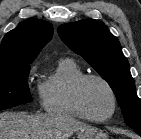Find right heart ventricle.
Returning <instances> with one entry per match:
<instances>
[{
  "label": "right heart ventricle",
  "instance_id": "e07e8e85",
  "mask_svg": "<svg viewBox=\"0 0 141 139\" xmlns=\"http://www.w3.org/2000/svg\"><path fill=\"white\" fill-rule=\"evenodd\" d=\"M84 71L73 59L59 60L54 71L39 84V95L44 110L48 113L83 118L76 109L72 89Z\"/></svg>",
  "mask_w": 141,
  "mask_h": 139
}]
</instances>
